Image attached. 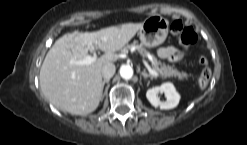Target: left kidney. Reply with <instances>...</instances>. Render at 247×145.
<instances>
[{
    "instance_id": "obj_1",
    "label": "left kidney",
    "mask_w": 247,
    "mask_h": 145,
    "mask_svg": "<svg viewBox=\"0 0 247 145\" xmlns=\"http://www.w3.org/2000/svg\"><path fill=\"white\" fill-rule=\"evenodd\" d=\"M164 93L166 101H160L157 94ZM148 101L154 107H160V109H173L179 104L180 95L176 91L174 85L170 82L163 83L161 86L153 87L146 92Z\"/></svg>"
}]
</instances>
